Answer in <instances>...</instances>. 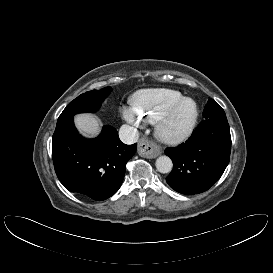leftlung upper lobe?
<instances>
[{"instance_id": "5c2ea615", "label": "left lung upper lobe", "mask_w": 273, "mask_h": 273, "mask_svg": "<svg viewBox=\"0 0 273 273\" xmlns=\"http://www.w3.org/2000/svg\"><path fill=\"white\" fill-rule=\"evenodd\" d=\"M204 120H227L224 110L213 100L209 99L204 111Z\"/></svg>"}]
</instances>
